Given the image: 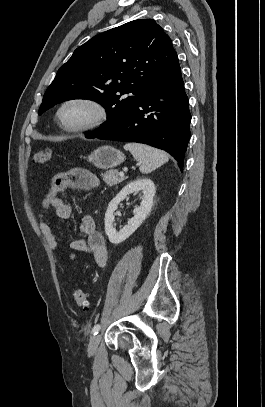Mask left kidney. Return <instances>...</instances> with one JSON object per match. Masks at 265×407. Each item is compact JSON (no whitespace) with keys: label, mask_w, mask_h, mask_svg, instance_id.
I'll list each match as a JSON object with an SVG mask.
<instances>
[{"label":"left kidney","mask_w":265,"mask_h":407,"mask_svg":"<svg viewBox=\"0 0 265 407\" xmlns=\"http://www.w3.org/2000/svg\"><path fill=\"white\" fill-rule=\"evenodd\" d=\"M142 191L143 199L141 205L134 209V216L128 221V224L119 231L113 226L114 212L118 204L129 194ZM155 195V186L152 180L140 178L127 184L109 203L105 213V233L113 244H119L131 236L137 228L143 223L153 206V197Z\"/></svg>","instance_id":"1"}]
</instances>
